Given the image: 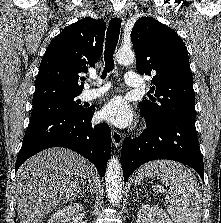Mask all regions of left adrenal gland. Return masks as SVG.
I'll return each mask as SVG.
<instances>
[{
	"instance_id": "1",
	"label": "left adrenal gland",
	"mask_w": 221,
	"mask_h": 223,
	"mask_svg": "<svg viewBox=\"0 0 221 223\" xmlns=\"http://www.w3.org/2000/svg\"><path fill=\"white\" fill-rule=\"evenodd\" d=\"M137 199H139L138 192H136V198H135V200L137 201Z\"/></svg>"
}]
</instances>
